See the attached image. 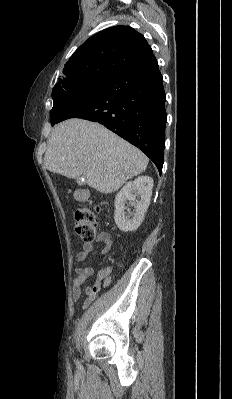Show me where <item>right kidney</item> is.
<instances>
[{"mask_svg": "<svg viewBox=\"0 0 232 399\" xmlns=\"http://www.w3.org/2000/svg\"><path fill=\"white\" fill-rule=\"evenodd\" d=\"M153 180L150 176H139L133 182H128L118 192L115 198L114 219L121 231H134L139 227L144 219V213L147 211L152 196ZM135 207L134 211L126 213V201Z\"/></svg>", "mask_w": 232, "mask_h": 399, "instance_id": "1", "label": "right kidney"}]
</instances>
